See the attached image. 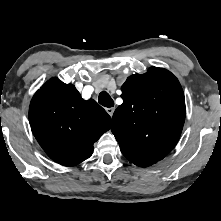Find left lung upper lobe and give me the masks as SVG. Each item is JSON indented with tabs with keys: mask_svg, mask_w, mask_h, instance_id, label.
<instances>
[{
	"mask_svg": "<svg viewBox=\"0 0 221 221\" xmlns=\"http://www.w3.org/2000/svg\"><path fill=\"white\" fill-rule=\"evenodd\" d=\"M123 104L112 117V133L130 161L152 165L177 144L184 120L185 98L177 78L152 67L127 78Z\"/></svg>",
	"mask_w": 221,
	"mask_h": 221,
	"instance_id": "5c2ea615",
	"label": "left lung upper lobe"
}]
</instances>
